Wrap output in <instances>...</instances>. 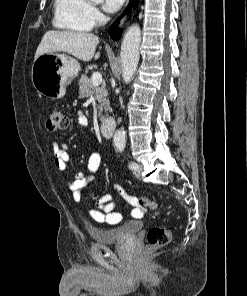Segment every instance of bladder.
Segmentation results:
<instances>
[{"instance_id": "1", "label": "bladder", "mask_w": 247, "mask_h": 296, "mask_svg": "<svg viewBox=\"0 0 247 296\" xmlns=\"http://www.w3.org/2000/svg\"><path fill=\"white\" fill-rule=\"evenodd\" d=\"M144 227V223L139 220H131L117 227H94L89 226L88 231L92 239L97 243H113L124 241L137 234Z\"/></svg>"}]
</instances>
